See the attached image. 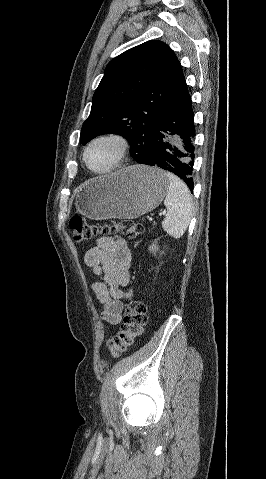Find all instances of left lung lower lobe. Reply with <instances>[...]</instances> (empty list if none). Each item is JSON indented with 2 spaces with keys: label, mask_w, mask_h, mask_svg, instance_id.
Instances as JSON below:
<instances>
[{
  "label": "left lung lower lobe",
  "mask_w": 266,
  "mask_h": 479,
  "mask_svg": "<svg viewBox=\"0 0 266 479\" xmlns=\"http://www.w3.org/2000/svg\"><path fill=\"white\" fill-rule=\"evenodd\" d=\"M194 113L186 81L168 103L157 126L150 154L142 164L157 166L183 179L193 192Z\"/></svg>",
  "instance_id": "obj_1"
}]
</instances>
